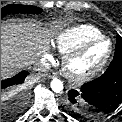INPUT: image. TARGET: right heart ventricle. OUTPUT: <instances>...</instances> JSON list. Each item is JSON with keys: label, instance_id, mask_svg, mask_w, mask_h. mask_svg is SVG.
Wrapping results in <instances>:
<instances>
[{"label": "right heart ventricle", "instance_id": "right-heart-ventricle-1", "mask_svg": "<svg viewBox=\"0 0 122 122\" xmlns=\"http://www.w3.org/2000/svg\"><path fill=\"white\" fill-rule=\"evenodd\" d=\"M103 36L102 32L92 25H78L61 31L54 44L62 54H67L82 44Z\"/></svg>", "mask_w": 122, "mask_h": 122}]
</instances>
